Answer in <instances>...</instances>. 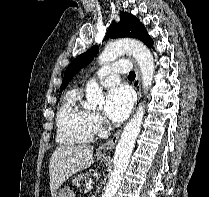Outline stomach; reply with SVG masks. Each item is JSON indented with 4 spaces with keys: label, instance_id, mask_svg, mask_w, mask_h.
I'll use <instances>...</instances> for the list:
<instances>
[{
    "label": "stomach",
    "instance_id": "stomach-1",
    "mask_svg": "<svg viewBox=\"0 0 209 197\" xmlns=\"http://www.w3.org/2000/svg\"><path fill=\"white\" fill-rule=\"evenodd\" d=\"M53 197H75V194L72 190L68 188H63L56 191Z\"/></svg>",
    "mask_w": 209,
    "mask_h": 197
}]
</instances>
